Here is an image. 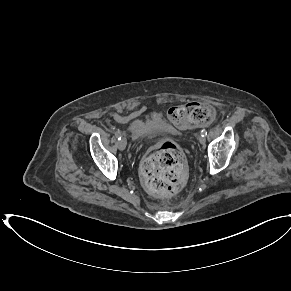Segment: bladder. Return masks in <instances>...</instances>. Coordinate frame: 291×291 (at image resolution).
<instances>
[{"instance_id": "obj_1", "label": "bladder", "mask_w": 291, "mask_h": 291, "mask_svg": "<svg viewBox=\"0 0 291 291\" xmlns=\"http://www.w3.org/2000/svg\"><path fill=\"white\" fill-rule=\"evenodd\" d=\"M161 122L163 120L157 116H150L148 120L134 119L129 122V132L131 136L143 138L158 130V125Z\"/></svg>"}]
</instances>
